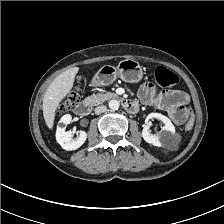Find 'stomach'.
Returning a JSON list of instances; mask_svg holds the SVG:
<instances>
[{"label": "stomach", "mask_w": 224, "mask_h": 224, "mask_svg": "<svg viewBox=\"0 0 224 224\" xmlns=\"http://www.w3.org/2000/svg\"><path fill=\"white\" fill-rule=\"evenodd\" d=\"M143 69L138 61L125 59L115 67L112 65L102 66L92 79L94 86H107L117 78L129 83H138L143 78Z\"/></svg>", "instance_id": "1"}]
</instances>
